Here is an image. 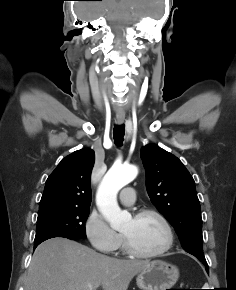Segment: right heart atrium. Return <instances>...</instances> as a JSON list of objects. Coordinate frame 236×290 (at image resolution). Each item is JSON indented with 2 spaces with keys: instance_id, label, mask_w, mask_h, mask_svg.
Masks as SVG:
<instances>
[{
  "instance_id": "1",
  "label": "right heart atrium",
  "mask_w": 236,
  "mask_h": 290,
  "mask_svg": "<svg viewBox=\"0 0 236 290\" xmlns=\"http://www.w3.org/2000/svg\"><path fill=\"white\" fill-rule=\"evenodd\" d=\"M84 232L91 246L102 253H114L123 241L122 236L115 232L103 216L95 210L87 216Z\"/></svg>"
}]
</instances>
